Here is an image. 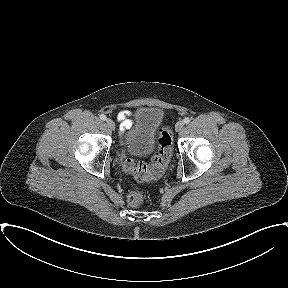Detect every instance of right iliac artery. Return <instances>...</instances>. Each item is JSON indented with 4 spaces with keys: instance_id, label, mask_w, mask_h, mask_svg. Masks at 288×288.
I'll use <instances>...</instances> for the list:
<instances>
[{
    "instance_id": "right-iliac-artery-1",
    "label": "right iliac artery",
    "mask_w": 288,
    "mask_h": 288,
    "mask_svg": "<svg viewBox=\"0 0 288 288\" xmlns=\"http://www.w3.org/2000/svg\"><path fill=\"white\" fill-rule=\"evenodd\" d=\"M100 119H101V120H106V116H105L104 114H101V115H100Z\"/></svg>"
}]
</instances>
